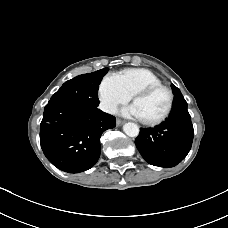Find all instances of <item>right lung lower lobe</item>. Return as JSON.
<instances>
[{
  "instance_id": "right-lung-lower-lobe-1",
  "label": "right lung lower lobe",
  "mask_w": 228,
  "mask_h": 228,
  "mask_svg": "<svg viewBox=\"0 0 228 228\" xmlns=\"http://www.w3.org/2000/svg\"><path fill=\"white\" fill-rule=\"evenodd\" d=\"M115 125V117L97 107L78 109L48 103L40 124V144L47 159L58 169L82 172L97 162L100 137Z\"/></svg>"
}]
</instances>
